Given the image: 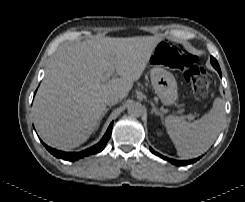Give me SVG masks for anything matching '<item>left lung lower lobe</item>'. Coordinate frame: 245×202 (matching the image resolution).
<instances>
[{
    "mask_svg": "<svg viewBox=\"0 0 245 202\" xmlns=\"http://www.w3.org/2000/svg\"><path fill=\"white\" fill-rule=\"evenodd\" d=\"M220 75H221V73H220ZM150 151L153 154H155V155H157V156H159V157H161V158H163V159H165V160H167V161H169V162H171L172 164H175V165H182V166H184V165L192 164V163H194L195 161L198 160V158H197V159L188 160V161H178V160H173V159L164 157V156L160 155L159 153L155 152L152 148H150Z\"/></svg>",
    "mask_w": 245,
    "mask_h": 202,
    "instance_id": "1",
    "label": "left lung lower lobe"
}]
</instances>
